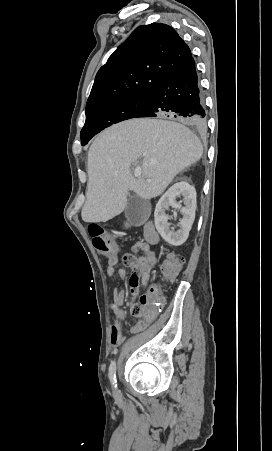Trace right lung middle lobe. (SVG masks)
Returning <instances> with one entry per match:
<instances>
[{
  "label": "right lung middle lobe",
  "instance_id": "obj_1",
  "mask_svg": "<svg viewBox=\"0 0 272 451\" xmlns=\"http://www.w3.org/2000/svg\"><path fill=\"white\" fill-rule=\"evenodd\" d=\"M150 95L123 96L86 109V122L81 130L82 145L105 128L137 117L148 105Z\"/></svg>",
  "mask_w": 272,
  "mask_h": 451
}]
</instances>
